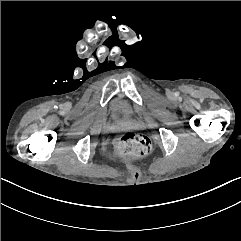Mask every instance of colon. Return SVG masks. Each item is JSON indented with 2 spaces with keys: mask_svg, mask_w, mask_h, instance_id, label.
I'll return each mask as SVG.
<instances>
[{
  "mask_svg": "<svg viewBox=\"0 0 241 241\" xmlns=\"http://www.w3.org/2000/svg\"><path fill=\"white\" fill-rule=\"evenodd\" d=\"M152 143L146 135L132 132L125 133L116 141L115 146L107 152L111 158H142L150 154Z\"/></svg>",
  "mask_w": 241,
  "mask_h": 241,
  "instance_id": "obj_1",
  "label": "colon"
}]
</instances>
